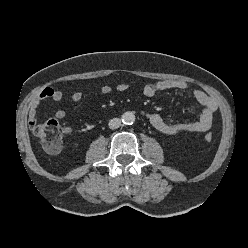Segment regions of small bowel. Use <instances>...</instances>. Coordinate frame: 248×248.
<instances>
[{"label":"small bowel","instance_id":"small-bowel-1","mask_svg":"<svg viewBox=\"0 0 248 248\" xmlns=\"http://www.w3.org/2000/svg\"><path fill=\"white\" fill-rule=\"evenodd\" d=\"M129 88L125 83L117 85L116 89L119 92H124ZM166 90H176L181 92H188L196 99V101L202 105V113L200 117L193 121L186 122H171L166 120L158 113H151L143 111V115L149 120L152 126L161 133L167 135H176L179 133L188 132H205L209 130L212 126L213 117L217 110L216 101L209 96L204 91L198 88L190 87L184 81L177 80H159L156 82L148 83L143 88V94L146 97H153L157 93ZM112 92V88L109 85H103L100 88V95L106 96ZM83 98V93L81 91H75L69 96L71 102L77 103ZM65 99V94L57 89L50 87L45 88L41 93L32 101L29 109V126L32 130L37 126V109L41 102L44 100H52L54 102H61ZM66 116V111L64 109H58L55 112V117L57 119H63ZM70 128L66 127L65 132L69 133Z\"/></svg>","mask_w":248,"mask_h":248}]
</instances>
